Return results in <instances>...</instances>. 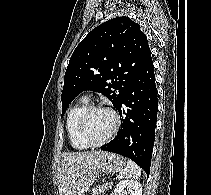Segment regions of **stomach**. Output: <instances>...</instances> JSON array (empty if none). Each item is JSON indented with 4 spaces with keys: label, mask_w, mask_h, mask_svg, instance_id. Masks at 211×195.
<instances>
[{
    "label": "stomach",
    "mask_w": 211,
    "mask_h": 195,
    "mask_svg": "<svg viewBox=\"0 0 211 195\" xmlns=\"http://www.w3.org/2000/svg\"><path fill=\"white\" fill-rule=\"evenodd\" d=\"M96 163V167L89 177V181L92 182H94L98 172L110 174L121 171L126 164V160L119 154L105 152Z\"/></svg>",
    "instance_id": "1"
}]
</instances>
